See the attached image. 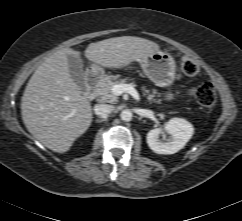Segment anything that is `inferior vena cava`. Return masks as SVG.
I'll return each instance as SVG.
<instances>
[{"mask_svg":"<svg viewBox=\"0 0 242 221\" xmlns=\"http://www.w3.org/2000/svg\"><path fill=\"white\" fill-rule=\"evenodd\" d=\"M115 110V107L108 104H97L94 107L96 115H107L112 113Z\"/></svg>","mask_w":242,"mask_h":221,"instance_id":"1","label":"inferior vena cava"}]
</instances>
